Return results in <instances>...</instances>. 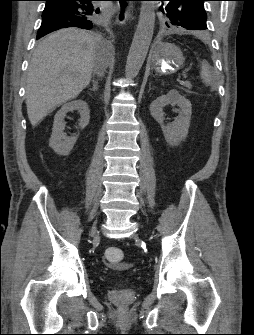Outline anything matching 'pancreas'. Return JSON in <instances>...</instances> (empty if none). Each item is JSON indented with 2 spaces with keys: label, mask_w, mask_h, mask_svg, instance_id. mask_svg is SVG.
Listing matches in <instances>:
<instances>
[{
  "label": "pancreas",
  "mask_w": 254,
  "mask_h": 335,
  "mask_svg": "<svg viewBox=\"0 0 254 335\" xmlns=\"http://www.w3.org/2000/svg\"><path fill=\"white\" fill-rule=\"evenodd\" d=\"M183 85L187 88V89H185V92H187V93H192V92L190 91V89L192 88V85H191L190 82H188V81L183 82Z\"/></svg>",
  "instance_id": "obj_1"
}]
</instances>
